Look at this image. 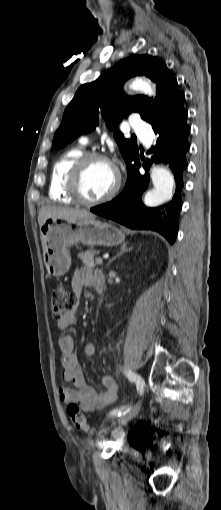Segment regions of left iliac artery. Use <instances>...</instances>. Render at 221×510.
<instances>
[{"label":"left iliac artery","instance_id":"left-iliac-artery-1","mask_svg":"<svg viewBox=\"0 0 221 510\" xmlns=\"http://www.w3.org/2000/svg\"><path fill=\"white\" fill-rule=\"evenodd\" d=\"M125 373H126V376L129 379V381L136 383L137 390H138L139 394L142 395L143 391H144L145 383L142 380L141 376L137 375L136 373H134V372H132L130 370L125 371ZM129 409H130L129 406H122L120 408H116V409L112 410L109 413V416H118V417H120L121 415H124L126 412H128Z\"/></svg>","mask_w":221,"mask_h":510}]
</instances>
